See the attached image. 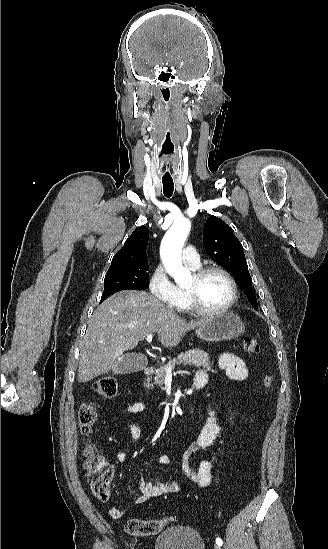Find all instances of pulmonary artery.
Instances as JSON below:
<instances>
[{"mask_svg":"<svg viewBox=\"0 0 328 549\" xmlns=\"http://www.w3.org/2000/svg\"><path fill=\"white\" fill-rule=\"evenodd\" d=\"M200 249L198 246H189L183 250V260L185 262L196 263L200 260Z\"/></svg>","mask_w":328,"mask_h":549,"instance_id":"obj_1","label":"pulmonary artery"}]
</instances>
